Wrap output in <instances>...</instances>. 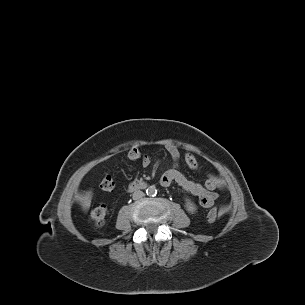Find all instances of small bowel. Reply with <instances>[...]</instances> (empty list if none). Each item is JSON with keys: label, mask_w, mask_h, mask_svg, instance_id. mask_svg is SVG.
Here are the masks:
<instances>
[{"label": "small bowel", "mask_w": 305, "mask_h": 305, "mask_svg": "<svg viewBox=\"0 0 305 305\" xmlns=\"http://www.w3.org/2000/svg\"><path fill=\"white\" fill-rule=\"evenodd\" d=\"M166 151L169 153L173 160V167L167 170L160 177V184L164 187L170 186L172 183H176L185 191L196 196L199 200V204L204 208H210L213 206L215 200L218 197L216 192L217 189L224 190L225 183L216 174L208 173L204 184H200L189 180L179 169L178 162L180 160L181 154L179 149L174 144H167L165 146ZM184 161L186 165L191 170H196L198 168V161L195 155L190 151H185ZM151 163L150 158L147 155H143L141 159V164L143 167L149 166Z\"/></svg>", "instance_id": "obj_1"}]
</instances>
